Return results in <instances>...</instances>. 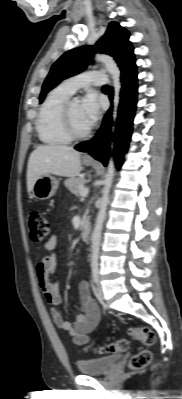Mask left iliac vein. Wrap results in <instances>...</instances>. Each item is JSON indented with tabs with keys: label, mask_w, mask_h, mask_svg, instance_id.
<instances>
[{
	"label": "left iliac vein",
	"mask_w": 182,
	"mask_h": 399,
	"mask_svg": "<svg viewBox=\"0 0 182 399\" xmlns=\"http://www.w3.org/2000/svg\"><path fill=\"white\" fill-rule=\"evenodd\" d=\"M97 295L100 299H104V292L100 283L97 284Z\"/></svg>",
	"instance_id": "obj_1"
}]
</instances>
